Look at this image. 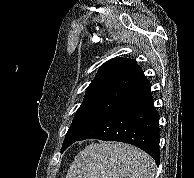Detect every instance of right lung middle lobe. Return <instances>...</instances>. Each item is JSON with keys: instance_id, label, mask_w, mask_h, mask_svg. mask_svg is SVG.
<instances>
[{"instance_id": "1", "label": "right lung middle lobe", "mask_w": 194, "mask_h": 178, "mask_svg": "<svg viewBox=\"0 0 194 178\" xmlns=\"http://www.w3.org/2000/svg\"><path fill=\"white\" fill-rule=\"evenodd\" d=\"M123 104L124 103L120 101L106 99L84 100L77 110L73 122L65 136L61 152Z\"/></svg>"}]
</instances>
